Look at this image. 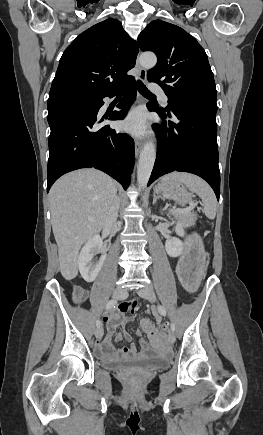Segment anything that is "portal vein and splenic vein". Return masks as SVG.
<instances>
[{
	"label": "portal vein and splenic vein",
	"instance_id": "1",
	"mask_svg": "<svg viewBox=\"0 0 263 435\" xmlns=\"http://www.w3.org/2000/svg\"><path fill=\"white\" fill-rule=\"evenodd\" d=\"M193 208H194V205L191 204L189 207H187V208H185V209H179V210H181V211H192Z\"/></svg>",
	"mask_w": 263,
	"mask_h": 435
}]
</instances>
